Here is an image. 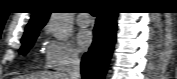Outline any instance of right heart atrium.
Segmentation results:
<instances>
[{"label": "right heart atrium", "instance_id": "obj_1", "mask_svg": "<svg viewBox=\"0 0 177 79\" xmlns=\"http://www.w3.org/2000/svg\"><path fill=\"white\" fill-rule=\"evenodd\" d=\"M44 57L46 66L56 71H65L80 61L79 53L72 44L57 40L48 41Z\"/></svg>", "mask_w": 177, "mask_h": 79}]
</instances>
